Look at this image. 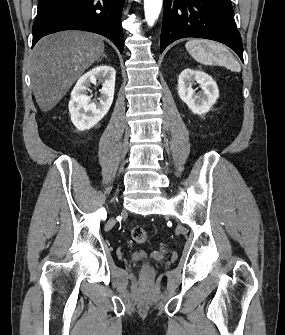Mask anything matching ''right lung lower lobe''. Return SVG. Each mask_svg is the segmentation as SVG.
I'll use <instances>...</instances> for the list:
<instances>
[{
    "label": "right lung lower lobe",
    "instance_id": "1",
    "mask_svg": "<svg viewBox=\"0 0 285 335\" xmlns=\"http://www.w3.org/2000/svg\"><path fill=\"white\" fill-rule=\"evenodd\" d=\"M125 0H38L33 44L51 33L84 30L110 39L123 52L122 7Z\"/></svg>",
    "mask_w": 285,
    "mask_h": 335
}]
</instances>
